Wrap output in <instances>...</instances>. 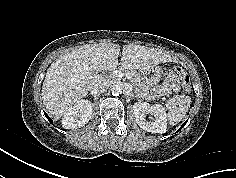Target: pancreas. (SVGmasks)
<instances>
[{
	"label": "pancreas",
	"mask_w": 236,
	"mask_h": 178,
	"mask_svg": "<svg viewBox=\"0 0 236 178\" xmlns=\"http://www.w3.org/2000/svg\"><path fill=\"white\" fill-rule=\"evenodd\" d=\"M125 74H129L131 76V82L134 86V91L137 96L142 97L145 100H155L162 95V92L159 87H150L145 85L137 73L134 70H121Z\"/></svg>",
	"instance_id": "obj_1"
}]
</instances>
